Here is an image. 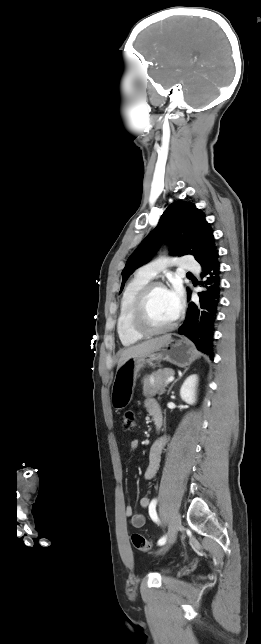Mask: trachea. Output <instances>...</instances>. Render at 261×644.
Segmentation results:
<instances>
[{
	"label": "trachea",
	"mask_w": 261,
	"mask_h": 644,
	"mask_svg": "<svg viewBox=\"0 0 261 644\" xmlns=\"http://www.w3.org/2000/svg\"><path fill=\"white\" fill-rule=\"evenodd\" d=\"M187 274L191 275V273H190V272H188Z\"/></svg>",
	"instance_id": "1"
}]
</instances>
